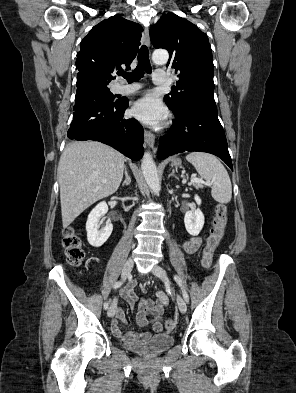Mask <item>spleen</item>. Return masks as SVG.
<instances>
[{
    "label": "spleen",
    "mask_w": 296,
    "mask_h": 393,
    "mask_svg": "<svg viewBox=\"0 0 296 393\" xmlns=\"http://www.w3.org/2000/svg\"><path fill=\"white\" fill-rule=\"evenodd\" d=\"M205 180L211 183V195L219 203H228L232 198V185L227 170L213 155L203 152H192L186 156Z\"/></svg>",
    "instance_id": "spleen-1"
}]
</instances>
